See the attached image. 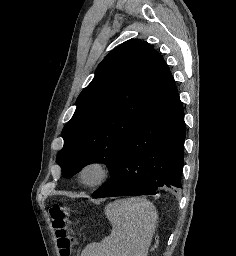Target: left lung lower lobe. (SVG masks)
I'll return each instance as SVG.
<instances>
[{
	"label": "left lung lower lobe",
	"instance_id": "0a47b994",
	"mask_svg": "<svg viewBox=\"0 0 236 256\" xmlns=\"http://www.w3.org/2000/svg\"><path fill=\"white\" fill-rule=\"evenodd\" d=\"M185 141L178 91L135 127L111 178L92 197L154 195L162 186L181 188Z\"/></svg>",
	"mask_w": 236,
	"mask_h": 256
}]
</instances>
